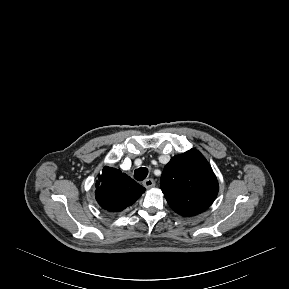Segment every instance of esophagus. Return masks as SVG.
<instances>
[{"mask_svg": "<svg viewBox=\"0 0 289 289\" xmlns=\"http://www.w3.org/2000/svg\"><path fill=\"white\" fill-rule=\"evenodd\" d=\"M143 185L145 188L149 189L155 186V181L151 178H148L143 181Z\"/></svg>", "mask_w": 289, "mask_h": 289, "instance_id": "obj_1", "label": "esophagus"}]
</instances>
